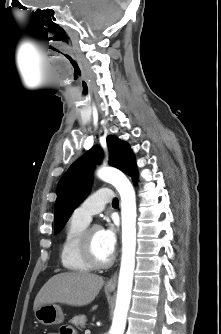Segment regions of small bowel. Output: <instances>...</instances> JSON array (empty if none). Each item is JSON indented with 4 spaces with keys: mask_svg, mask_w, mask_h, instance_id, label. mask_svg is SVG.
Returning a JSON list of instances; mask_svg holds the SVG:
<instances>
[{
    "mask_svg": "<svg viewBox=\"0 0 221 334\" xmlns=\"http://www.w3.org/2000/svg\"><path fill=\"white\" fill-rule=\"evenodd\" d=\"M60 334H73V331L69 328H64Z\"/></svg>",
    "mask_w": 221,
    "mask_h": 334,
    "instance_id": "c3829d8e",
    "label": "small bowel"
}]
</instances>
